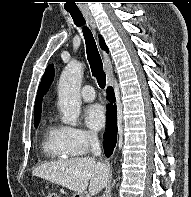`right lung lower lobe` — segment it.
I'll return each mask as SVG.
<instances>
[{
  "label": "right lung lower lobe",
  "mask_w": 191,
  "mask_h": 197,
  "mask_svg": "<svg viewBox=\"0 0 191 197\" xmlns=\"http://www.w3.org/2000/svg\"><path fill=\"white\" fill-rule=\"evenodd\" d=\"M108 93V100L110 101V104L107 105V109L109 111V114L107 115V121H108V130L104 134V152L107 156H110L113 152V149L116 144L117 140V116H116V105H112V103L115 102L114 98V91L111 87L107 89Z\"/></svg>",
  "instance_id": "right-lung-lower-lobe-1"
}]
</instances>
